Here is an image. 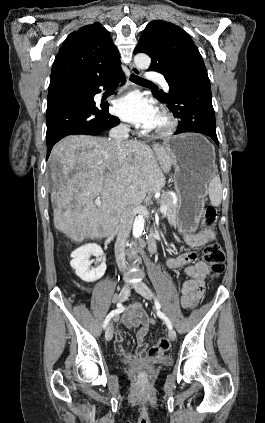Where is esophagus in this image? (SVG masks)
Returning a JSON list of instances; mask_svg holds the SVG:
<instances>
[{
  "mask_svg": "<svg viewBox=\"0 0 265 423\" xmlns=\"http://www.w3.org/2000/svg\"><path fill=\"white\" fill-rule=\"evenodd\" d=\"M130 70H131V73H133L134 75H140L141 74L140 70L138 68H136L134 65L130 66Z\"/></svg>",
  "mask_w": 265,
  "mask_h": 423,
  "instance_id": "34e87169",
  "label": "esophagus"
}]
</instances>
